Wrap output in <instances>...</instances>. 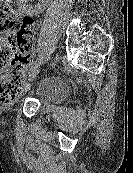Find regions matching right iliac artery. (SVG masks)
Masks as SVG:
<instances>
[{
  "label": "right iliac artery",
  "instance_id": "82829eb1",
  "mask_svg": "<svg viewBox=\"0 0 133 173\" xmlns=\"http://www.w3.org/2000/svg\"><path fill=\"white\" fill-rule=\"evenodd\" d=\"M36 65H37V61H33L26 66V69L31 70Z\"/></svg>",
  "mask_w": 133,
  "mask_h": 173
}]
</instances>
